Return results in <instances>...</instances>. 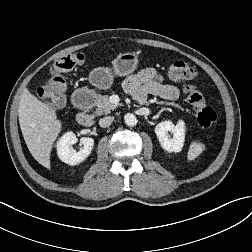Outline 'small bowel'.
I'll use <instances>...</instances> for the list:
<instances>
[{
  "label": "small bowel",
  "instance_id": "c3829d8e",
  "mask_svg": "<svg viewBox=\"0 0 252 252\" xmlns=\"http://www.w3.org/2000/svg\"><path fill=\"white\" fill-rule=\"evenodd\" d=\"M124 89L139 103H143L148 95L160 96L164 99L175 100L180 96V90L167 84L163 76L153 68L140 70L124 81Z\"/></svg>",
  "mask_w": 252,
  "mask_h": 252
}]
</instances>
